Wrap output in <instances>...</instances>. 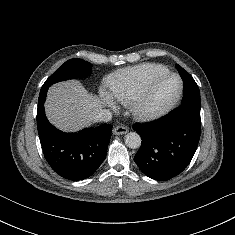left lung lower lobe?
<instances>
[{
    "mask_svg": "<svg viewBox=\"0 0 235 235\" xmlns=\"http://www.w3.org/2000/svg\"><path fill=\"white\" fill-rule=\"evenodd\" d=\"M183 91L190 93V80L182 78ZM201 103L183 102L165 117L135 124L142 144L134 161L148 177L165 181L180 174L190 163L201 132Z\"/></svg>",
    "mask_w": 235,
    "mask_h": 235,
    "instance_id": "left-lung-lower-lobe-1",
    "label": "left lung lower lobe"
}]
</instances>
